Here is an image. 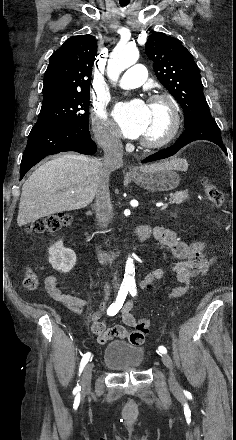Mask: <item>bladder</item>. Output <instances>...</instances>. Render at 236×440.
Here are the masks:
<instances>
[{
    "instance_id": "obj_1",
    "label": "bladder",
    "mask_w": 236,
    "mask_h": 440,
    "mask_svg": "<svg viewBox=\"0 0 236 440\" xmlns=\"http://www.w3.org/2000/svg\"><path fill=\"white\" fill-rule=\"evenodd\" d=\"M103 363L118 371H139L145 363V348L123 340L106 345Z\"/></svg>"
}]
</instances>
